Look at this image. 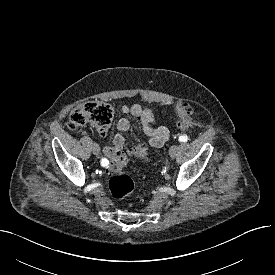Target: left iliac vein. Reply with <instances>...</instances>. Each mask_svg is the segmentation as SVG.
Listing matches in <instances>:
<instances>
[{
    "mask_svg": "<svg viewBox=\"0 0 275 275\" xmlns=\"http://www.w3.org/2000/svg\"><path fill=\"white\" fill-rule=\"evenodd\" d=\"M178 152V147L176 145L171 146L169 150V155L171 158H174Z\"/></svg>",
    "mask_w": 275,
    "mask_h": 275,
    "instance_id": "left-iliac-vein-1",
    "label": "left iliac vein"
}]
</instances>
